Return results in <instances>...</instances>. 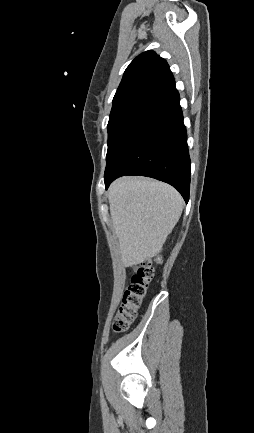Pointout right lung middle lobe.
I'll use <instances>...</instances> for the list:
<instances>
[{
	"mask_svg": "<svg viewBox=\"0 0 254 433\" xmlns=\"http://www.w3.org/2000/svg\"><path fill=\"white\" fill-rule=\"evenodd\" d=\"M143 104L141 102H128L112 107L108 122V151L106 161L115 149L124 125Z\"/></svg>",
	"mask_w": 254,
	"mask_h": 433,
	"instance_id": "1",
	"label": "right lung middle lobe"
}]
</instances>
